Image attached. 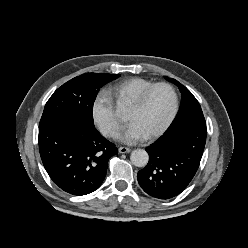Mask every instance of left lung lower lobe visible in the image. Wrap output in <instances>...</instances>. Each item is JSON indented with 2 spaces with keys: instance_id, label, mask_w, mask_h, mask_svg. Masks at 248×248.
<instances>
[{
  "instance_id": "obj_1",
  "label": "left lung lower lobe",
  "mask_w": 248,
  "mask_h": 248,
  "mask_svg": "<svg viewBox=\"0 0 248 248\" xmlns=\"http://www.w3.org/2000/svg\"><path fill=\"white\" fill-rule=\"evenodd\" d=\"M206 136V127L194 125L164 133L146 148L149 162L138 172L141 188L158 199H170L180 194L198 170Z\"/></svg>"
}]
</instances>
